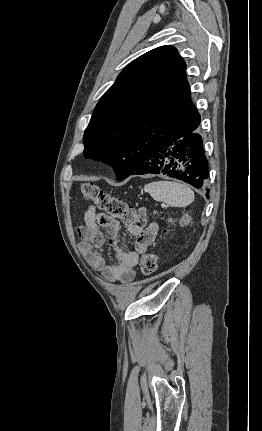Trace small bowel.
Here are the masks:
<instances>
[{"label": "small bowel", "instance_id": "1", "mask_svg": "<svg viewBox=\"0 0 262 431\" xmlns=\"http://www.w3.org/2000/svg\"><path fill=\"white\" fill-rule=\"evenodd\" d=\"M121 224L104 213L96 211L90 205L83 217V226L78 229L80 245L85 251L92 267L111 281L128 284L135 276V265L140 254L146 252L156 238L158 224L152 223L147 228L138 225H127L129 234L136 237L135 250L128 251L118 246ZM109 230L108 240L114 247L115 261L107 263L102 254L106 242L103 230Z\"/></svg>", "mask_w": 262, "mask_h": 431}]
</instances>
